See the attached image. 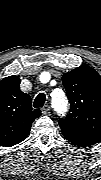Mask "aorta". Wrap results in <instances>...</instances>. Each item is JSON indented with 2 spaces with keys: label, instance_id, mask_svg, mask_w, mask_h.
Segmentation results:
<instances>
[{
  "label": "aorta",
  "instance_id": "obj_1",
  "mask_svg": "<svg viewBox=\"0 0 101 180\" xmlns=\"http://www.w3.org/2000/svg\"><path fill=\"white\" fill-rule=\"evenodd\" d=\"M53 103H54L55 109L59 113H64L65 112L67 102H66L64 96H62V97H54Z\"/></svg>",
  "mask_w": 101,
  "mask_h": 180
}]
</instances>
